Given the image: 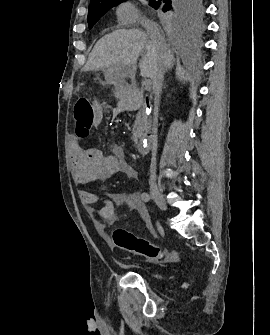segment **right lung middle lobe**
<instances>
[{"label":"right lung middle lobe","instance_id":"obj_1","mask_svg":"<svg viewBox=\"0 0 270 335\" xmlns=\"http://www.w3.org/2000/svg\"><path fill=\"white\" fill-rule=\"evenodd\" d=\"M124 0H119L115 3H106L98 6H89L88 24L91 29L96 22L112 7L118 5ZM150 0L149 5L155 9L162 6L164 12L169 11L164 15L165 21L172 27L180 29H193L200 25V21L204 11V0Z\"/></svg>","mask_w":270,"mask_h":335}]
</instances>
